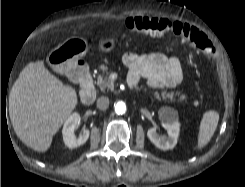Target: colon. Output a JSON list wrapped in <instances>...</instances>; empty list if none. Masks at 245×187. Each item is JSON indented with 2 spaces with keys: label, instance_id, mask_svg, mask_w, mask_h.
I'll return each mask as SVG.
<instances>
[{
  "label": "colon",
  "instance_id": "1",
  "mask_svg": "<svg viewBox=\"0 0 245 187\" xmlns=\"http://www.w3.org/2000/svg\"><path fill=\"white\" fill-rule=\"evenodd\" d=\"M124 26L132 32L155 37L171 36L180 43L196 49L208 59L214 57L215 51L207 35L190 24L165 18L134 16L127 18Z\"/></svg>",
  "mask_w": 245,
  "mask_h": 187
}]
</instances>
